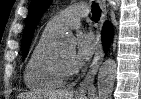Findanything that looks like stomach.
Here are the masks:
<instances>
[{
  "mask_svg": "<svg viewBox=\"0 0 141 99\" xmlns=\"http://www.w3.org/2000/svg\"><path fill=\"white\" fill-rule=\"evenodd\" d=\"M79 99H84V97H80Z\"/></svg>",
  "mask_w": 141,
  "mask_h": 99,
  "instance_id": "stomach-1",
  "label": "stomach"
}]
</instances>
